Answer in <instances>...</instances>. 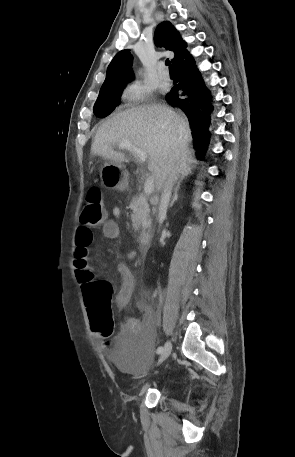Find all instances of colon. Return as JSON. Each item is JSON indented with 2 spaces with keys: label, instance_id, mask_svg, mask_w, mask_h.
Returning <instances> with one entry per match:
<instances>
[{
  "label": "colon",
  "instance_id": "1",
  "mask_svg": "<svg viewBox=\"0 0 295 457\" xmlns=\"http://www.w3.org/2000/svg\"><path fill=\"white\" fill-rule=\"evenodd\" d=\"M106 221V209L99 188L89 189L85 206L80 215V224L86 228L103 226ZM76 275L83 283V299L91 329L95 335L105 340L113 331L111 311L112 290L108 283L95 279L87 254L80 253L75 257Z\"/></svg>",
  "mask_w": 295,
  "mask_h": 457
}]
</instances>
